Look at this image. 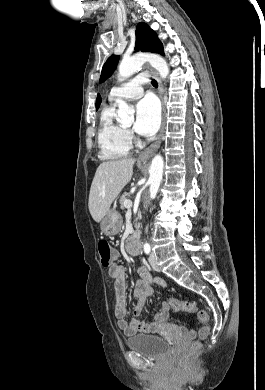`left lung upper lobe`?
Masks as SVG:
<instances>
[{"mask_svg": "<svg viewBox=\"0 0 265 390\" xmlns=\"http://www.w3.org/2000/svg\"><path fill=\"white\" fill-rule=\"evenodd\" d=\"M136 50L142 52H155L164 55L163 45L159 41L157 34L144 22L138 23L136 26ZM119 56L112 55L105 62L100 81L103 82L110 77L118 64Z\"/></svg>", "mask_w": 265, "mask_h": 390, "instance_id": "1", "label": "left lung upper lobe"}]
</instances>
